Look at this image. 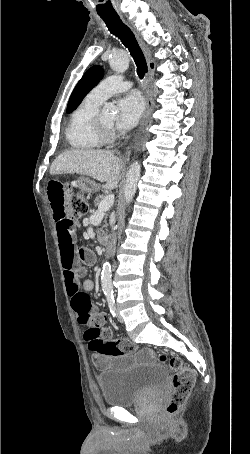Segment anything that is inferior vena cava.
Segmentation results:
<instances>
[{
    "instance_id": "obj_1",
    "label": "inferior vena cava",
    "mask_w": 250,
    "mask_h": 454,
    "mask_svg": "<svg viewBox=\"0 0 250 454\" xmlns=\"http://www.w3.org/2000/svg\"><path fill=\"white\" fill-rule=\"evenodd\" d=\"M115 245H116V233L113 231V243L112 245L108 248V255L113 257L115 254Z\"/></svg>"
}]
</instances>
